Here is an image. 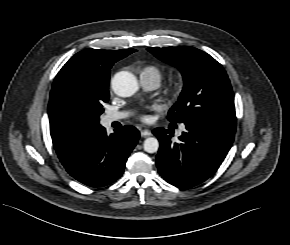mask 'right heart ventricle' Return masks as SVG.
I'll return each instance as SVG.
<instances>
[{
    "mask_svg": "<svg viewBox=\"0 0 290 245\" xmlns=\"http://www.w3.org/2000/svg\"><path fill=\"white\" fill-rule=\"evenodd\" d=\"M156 73L160 76V72L155 66H146L141 70L140 76L144 74Z\"/></svg>",
    "mask_w": 290,
    "mask_h": 245,
    "instance_id": "1",
    "label": "right heart ventricle"
}]
</instances>
